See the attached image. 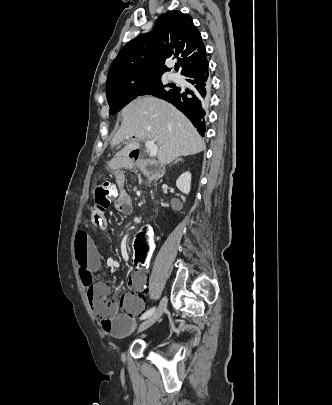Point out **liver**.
I'll return each instance as SVG.
<instances>
[{
  "instance_id": "1",
  "label": "liver",
  "mask_w": 332,
  "mask_h": 405,
  "mask_svg": "<svg viewBox=\"0 0 332 405\" xmlns=\"http://www.w3.org/2000/svg\"><path fill=\"white\" fill-rule=\"evenodd\" d=\"M122 124L111 144L117 145L134 138L120 152L118 159L128 157L137 141H153L158 146V162L169 164L179 156L203 151L206 146L191 122L165 101L146 97L134 100L122 110Z\"/></svg>"
}]
</instances>
